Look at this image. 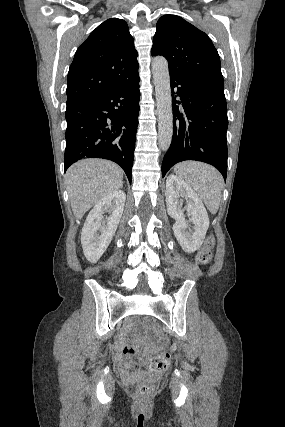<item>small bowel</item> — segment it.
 Wrapping results in <instances>:
<instances>
[{
  "mask_svg": "<svg viewBox=\"0 0 285 427\" xmlns=\"http://www.w3.org/2000/svg\"><path fill=\"white\" fill-rule=\"evenodd\" d=\"M123 341H117L115 345V356L119 364L125 369H129V362L122 355Z\"/></svg>",
  "mask_w": 285,
  "mask_h": 427,
  "instance_id": "small-bowel-1",
  "label": "small bowel"
}]
</instances>
